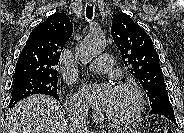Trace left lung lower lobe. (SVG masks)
<instances>
[{
    "label": "left lung lower lobe",
    "mask_w": 184,
    "mask_h": 133,
    "mask_svg": "<svg viewBox=\"0 0 184 133\" xmlns=\"http://www.w3.org/2000/svg\"><path fill=\"white\" fill-rule=\"evenodd\" d=\"M151 113L165 116L172 122L176 123L174 111L170 104H161L156 107H153Z\"/></svg>",
    "instance_id": "left-lung-lower-lobe-1"
}]
</instances>
